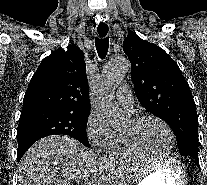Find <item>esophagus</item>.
Listing matches in <instances>:
<instances>
[{
  "label": "esophagus",
  "instance_id": "1",
  "mask_svg": "<svg viewBox=\"0 0 207 185\" xmlns=\"http://www.w3.org/2000/svg\"><path fill=\"white\" fill-rule=\"evenodd\" d=\"M97 14H104V9H97ZM107 19H104V15H97L96 24H108ZM98 30H109V25H98ZM99 38H106V33H99Z\"/></svg>",
  "mask_w": 207,
  "mask_h": 185
}]
</instances>
